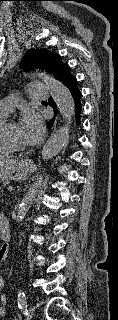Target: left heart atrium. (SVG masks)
<instances>
[{"label": "left heart atrium", "mask_w": 118, "mask_h": 320, "mask_svg": "<svg viewBox=\"0 0 118 320\" xmlns=\"http://www.w3.org/2000/svg\"><path fill=\"white\" fill-rule=\"evenodd\" d=\"M18 126L23 142L28 145L37 143L44 133L41 117L36 112L26 113Z\"/></svg>", "instance_id": "1"}]
</instances>
